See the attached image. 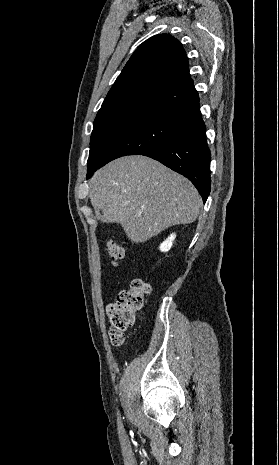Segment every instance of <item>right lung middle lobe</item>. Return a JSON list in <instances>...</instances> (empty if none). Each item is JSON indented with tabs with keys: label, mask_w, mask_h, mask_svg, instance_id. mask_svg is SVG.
<instances>
[{
	"label": "right lung middle lobe",
	"mask_w": 279,
	"mask_h": 465,
	"mask_svg": "<svg viewBox=\"0 0 279 465\" xmlns=\"http://www.w3.org/2000/svg\"><path fill=\"white\" fill-rule=\"evenodd\" d=\"M176 128V123L156 120H131L94 128L88 171L121 156L143 154L168 139Z\"/></svg>",
	"instance_id": "1"
}]
</instances>
